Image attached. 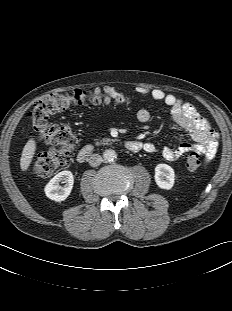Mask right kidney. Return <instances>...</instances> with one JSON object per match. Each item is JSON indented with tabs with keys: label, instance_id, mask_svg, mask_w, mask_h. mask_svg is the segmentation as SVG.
I'll return each mask as SVG.
<instances>
[{
	"label": "right kidney",
	"instance_id": "obj_1",
	"mask_svg": "<svg viewBox=\"0 0 232 311\" xmlns=\"http://www.w3.org/2000/svg\"><path fill=\"white\" fill-rule=\"evenodd\" d=\"M59 183H65L60 186ZM74 177L71 171H62L56 174L45 186L46 196L56 202L64 201L71 193Z\"/></svg>",
	"mask_w": 232,
	"mask_h": 311
}]
</instances>
